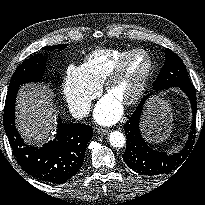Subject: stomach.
<instances>
[{"instance_id":"0dacf381","label":"stomach","mask_w":205,"mask_h":205,"mask_svg":"<svg viewBox=\"0 0 205 205\" xmlns=\"http://www.w3.org/2000/svg\"><path fill=\"white\" fill-rule=\"evenodd\" d=\"M142 131L149 143L163 142L172 131L171 107L163 97L147 102L142 116Z\"/></svg>"}]
</instances>
